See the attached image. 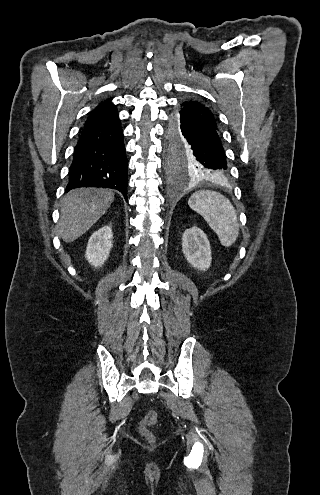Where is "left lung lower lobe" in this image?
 <instances>
[{
  "mask_svg": "<svg viewBox=\"0 0 320 495\" xmlns=\"http://www.w3.org/2000/svg\"><path fill=\"white\" fill-rule=\"evenodd\" d=\"M177 115L183 136L192 146L199 149L200 159L210 171L211 178L226 176L229 173V167L218 128L187 110H180ZM172 124L173 115L170 120L169 132Z\"/></svg>",
  "mask_w": 320,
  "mask_h": 495,
  "instance_id": "0a47b994",
  "label": "left lung lower lobe"
}]
</instances>
